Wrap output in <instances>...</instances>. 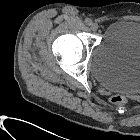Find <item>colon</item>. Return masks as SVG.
<instances>
[{
	"label": "colon",
	"mask_w": 140,
	"mask_h": 140,
	"mask_svg": "<svg viewBox=\"0 0 140 140\" xmlns=\"http://www.w3.org/2000/svg\"><path fill=\"white\" fill-rule=\"evenodd\" d=\"M111 102L115 105H125L127 102V98L124 95L121 94H114L110 98Z\"/></svg>",
	"instance_id": "1"
}]
</instances>
